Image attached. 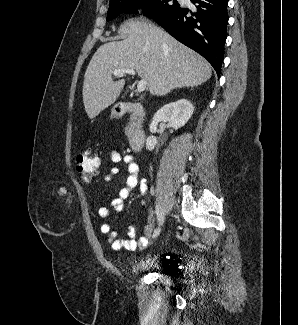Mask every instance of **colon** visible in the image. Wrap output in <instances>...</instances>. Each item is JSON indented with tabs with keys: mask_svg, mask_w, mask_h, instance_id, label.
I'll list each match as a JSON object with an SVG mask.
<instances>
[{
	"mask_svg": "<svg viewBox=\"0 0 298 325\" xmlns=\"http://www.w3.org/2000/svg\"><path fill=\"white\" fill-rule=\"evenodd\" d=\"M99 166V159L96 155L85 150L80 152L75 160V171L78 177L85 183H90L96 176L97 168ZM63 194L62 190H59L57 196Z\"/></svg>",
	"mask_w": 298,
	"mask_h": 325,
	"instance_id": "5ec220e1",
	"label": "colon"
}]
</instances>
